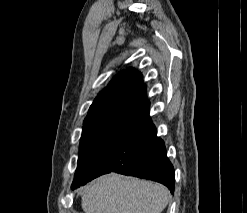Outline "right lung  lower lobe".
<instances>
[{"label":"right lung lower lobe","mask_w":247,"mask_h":213,"mask_svg":"<svg viewBox=\"0 0 247 213\" xmlns=\"http://www.w3.org/2000/svg\"><path fill=\"white\" fill-rule=\"evenodd\" d=\"M149 101L132 107L115 143L98 161L96 177L110 172L149 179L174 192V168L149 117ZM95 177V178H96Z\"/></svg>","instance_id":"obj_1"}]
</instances>
